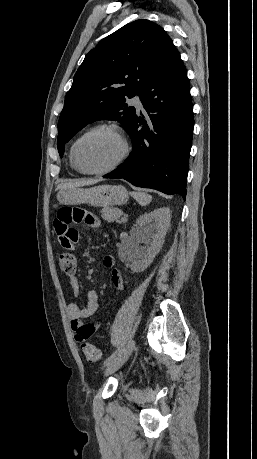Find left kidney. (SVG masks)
<instances>
[{"instance_id": "left-kidney-1", "label": "left kidney", "mask_w": 257, "mask_h": 459, "mask_svg": "<svg viewBox=\"0 0 257 459\" xmlns=\"http://www.w3.org/2000/svg\"><path fill=\"white\" fill-rule=\"evenodd\" d=\"M170 221V210L165 207L145 213L137 219L131 233L132 242L127 251L131 264H126L133 272H141L152 263L163 245ZM140 242L149 245L140 247Z\"/></svg>"}]
</instances>
